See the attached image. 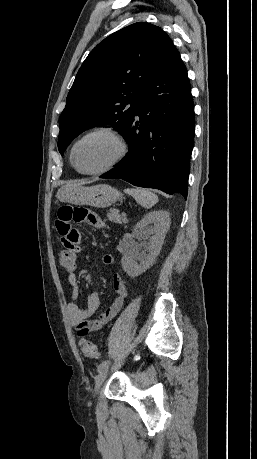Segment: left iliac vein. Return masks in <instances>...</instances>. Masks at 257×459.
Returning a JSON list of instances; mask_svg holds the SVG:
<instances>
[{"label": "left iliac vein", "instance_id": "obj_1", "mask_svg": "<svg viewBox=\"0 0 257 459\" xmlns=\"http://www.w3.org/2000/svg\"><path fill=\"white\" fill-rule=\"evenodd\" d=\"M108 367L104 368L103 370L100 371V373L98 374V376L96 377V380H95V388H94V391H95V394L98 393L101 385L103 384V382L105 381L106 377H107V374H108Z\"/></svg>", "mask_w": 257, "mask_h": 459}]
</instances>
